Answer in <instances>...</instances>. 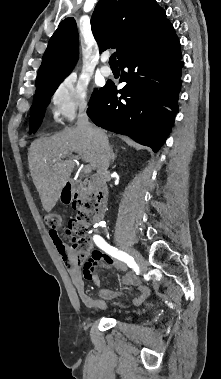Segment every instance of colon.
Segmentation results:
<instances>
[{
    "label": "colon",
    "mask_w": 221,
    "mask_h": 379,
    "mask_svg": "<svg viewBox=\"0 0 221 379\" xmlns=\"http://www.w3.org/2000/svg\"><path fill=\"white\" fill-rule=\"evenodd\" d=\"M92 195L84 193L73 202V208L76 211L75 216L70 220L67 234L72 237V248L76 252V260L80 265L86 264L90 242L87 237V228L93 220L92 213ZM43 221L50 230V234L56 235L61 227V216L56 212H49L43 215Z\"/></svg>",
    "instance_id": "5ec220e1"
}]
</instances>
